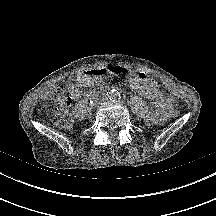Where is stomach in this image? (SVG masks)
Wrapping results in <instances>:
<instances>
[{"label":"stomach","instance_id":"0dacf381","mask_svg":"<svg viewBox=\"0 0 216 216\" xmlns=\"http://www.w3.org/2000/svg\"><path fill=\"white\" fill-rule=\"evenodd\" d=\"M104 71L107 75L119 79H125L129 75V70L127 67L122 65H117L113 62L106 63L104 66Z\"/></svg>","mask_w":216,"mask_h":216}]
</instances>
